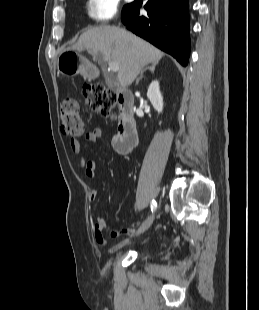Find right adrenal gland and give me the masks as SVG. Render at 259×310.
Instances as JSON below:
<instances>
[{"label": "right adrenal gland", "mask_w": 259, "mask_h": 310, "mask_svg": "<svg viewBox=\"0 0 259 310\" xmlns=\"http://www.w3.org/2000/svg\"><path fill=\"white\" fill-rule=\"evenodd\" d=\"M158 63H153L151 66H148L146 68H144L141 72H140V77H138V79L136 80V84L139 83V81L143 78V73L146 71V70H150L151 73H154L155 72V67Z\"/></svg>", "instance_id": "2a0ac1e0"}]
</instances>
